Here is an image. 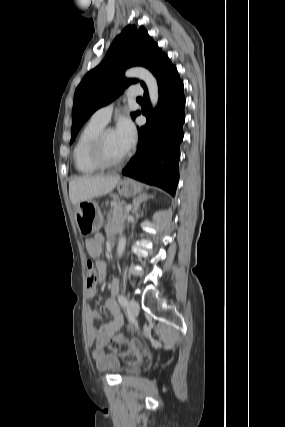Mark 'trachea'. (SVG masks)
Here are the masks:
<instances>
[{
    "label": "trachea",
    "instance_id": "3493384b",
    "mask_svg": "<svg viewBox=\"0 0 285 427\" xmlns=\"http://www.w3.org/2000/svg\"><path fill=\"white\" fill-rule=\"evenodd\" d=\"M138 100H141L142 98L141 97H139V98H137Z\"/></svg>",
    "mask_w": 285,
    "mask_h": 427
}]
</instances>
